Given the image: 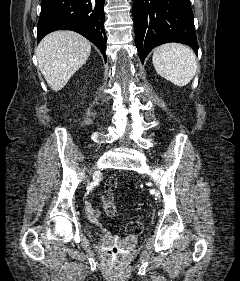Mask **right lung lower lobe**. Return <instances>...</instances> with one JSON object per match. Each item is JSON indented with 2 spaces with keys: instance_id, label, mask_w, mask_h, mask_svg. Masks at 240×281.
Returning <instances> with one entry per match:
<instances>
[{
  "instance_id": "obj_1",
  "label": "right lung lower lobe",
  "mask_w": 240,
  "mask_h": 281,
  "mask_svg": "<svg viewBox=\"0 0 240 281\" xmlns=\"http://www.w3.org/2000/svg\"><path fill=\"white\" fill-rule=\"evenodd\" d=\"M105 0H43L37 42L56 30H72L95 44L106 60Z\"/></svg>"
}]
</instances>
